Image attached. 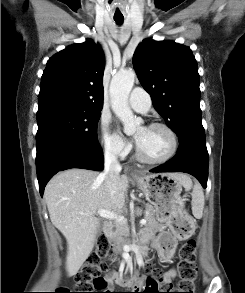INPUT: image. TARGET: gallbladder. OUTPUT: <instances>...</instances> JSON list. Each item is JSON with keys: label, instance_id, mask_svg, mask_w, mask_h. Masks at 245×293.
Masks as SVG:
<instances>
[{"label": "gallbladder", "instance_id": "bac80fb5", "mask_svg": "<svg viewBox=\"0 0 245 293\" xmlns=\"http://www.w3.org/2000/svg\"><path fill=\"white\" fill-rule=\"evenodd\" d=\"M102 227H103V224L100 223V226H99V228L97 230L96 238H98L101 235V233H102Z\"/></svg>", "mask_w": 245, "mask_h": 293}]
</instances>
